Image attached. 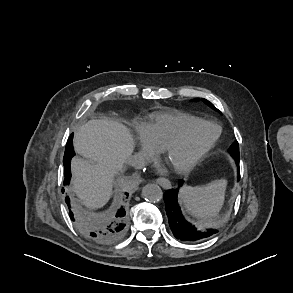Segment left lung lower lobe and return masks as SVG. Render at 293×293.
<instances>
[{
	"mask_svg": "<svg viewBox=\"0 0 293 293\" xmlns=\"http://www.w3.org/2000/svg\"><path fill=\"white\" fill-rule=\"evenodd\" d=\"M236 164L238 166V179H240V172H239V160H236ZM183 181H179V186H182ZM179 188L168 190L164 195V201L166 204V212L169 220L170 228L177 239L182 241H196L200 239H204L210 237L217 230H208V231H197L194 226L188 223L179 207L177 202Z\"/></svg>",
	"mask_w": 293,
	"mask_h": 293,
	"instance_id": "0a47b994",
	"label": "left lung lower lobe"
}]
</instances>
